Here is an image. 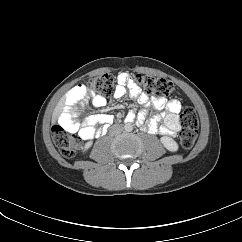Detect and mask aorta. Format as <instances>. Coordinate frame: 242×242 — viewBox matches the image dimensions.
Returning a JSON list of instances; mask_svg holds the SVG:
<instances>
[{"label": "aorta", "instance_id": "1", "mask_svg": "<svg viewBox=\"0 0 242 242\" xmlns=\"http://www.w3.org/2000/svg\"><path fill=\"white\" fill-rule=\"evenodd\" d=\"M124 128H125V130H126L127 132H130V131H132L133 126H132L131 124H126Z\"/></svg>", "mask_w": 242, "mask_h": 242}]
</instances>
